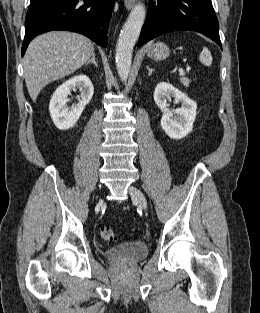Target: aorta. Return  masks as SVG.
<instances>
[{"instance_id":"762f6f07","label":"aorta","mask_w":260,"mask_h":313,"mask_svg":"<svg viewBox=\"0 0 260 313\" xmlns=\"http://www.w3.org/2000/svg\"><path fill=\"white\" fill-rule=\"evenodd\" d=\"M146 17L143 3L139 2L130 12L116 45V68L122 81H126L132 64V53Z\"/></svg>"}]
</instances>
